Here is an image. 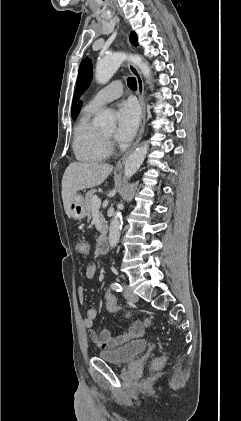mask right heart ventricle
Segmentation results:
<instances>
[{
	"label": "right heart ventricle",
	"mask_w": 241,
	"mask_h": 421,
	"mask_svg": "<svg viewBox=\"0 0 241 421\" xmlns=\"http://www.w3.org/2000/svg\"><path fill=\"white\" fill-rule=\"evenodd\" d=\"M96 112L86 106L74 129L73 151L76 158L83 162H100L110 155V146L103 133L92 123Z\"/></svg>",
	"instance_id": "obj_1"
}]
</instances>
